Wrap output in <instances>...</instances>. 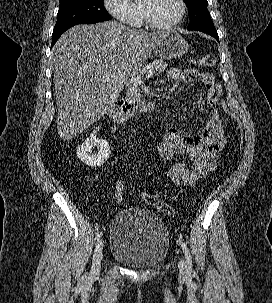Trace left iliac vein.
<instances>
[{
    "label": "left iliac vein",
    "instance_id": "4c4485c4",
    "mask_svg": "<svg viewBox=\"0 0 272 303\" xmlns=\"http://www.w3.org/2000/svg\"><path fill=\"white\" fill-rule=\"evenodd\" d=\"M180 275L185 276L187 274L186 262L183 258L179 261L178 264Z\"/></svg>",
    "mask_w": 272,
    "mask_h": 303
}]
</instances>
